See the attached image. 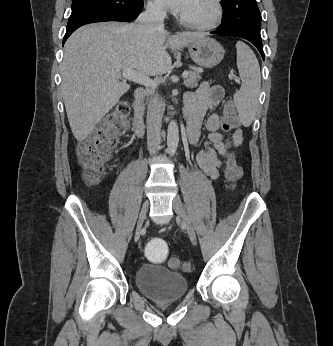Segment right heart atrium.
Here are the masks:
<instances>
[{
    "instance_id": "d8ad5b80",
    "label": "right heart atrium",
    "mask_w": 333,
    "mask_h": 346,
    "mask_svg": "<svg viewBox=\"0 0 333 346\" xmlns=\"http://www.w3.org/2000/svg\"><path fill=\"white\" fill-rule=\"evenodd\" d=\"M147 9L154 16L164 15V8L162 7L160 0H149L147 3Z\"/></svg>"
}]
</instances>
